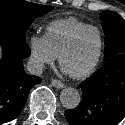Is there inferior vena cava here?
I'll return each instance as SVG.
<instances>
[{
    "mask_svg": "<svg viewBox=\"0 0 125 125\" xmlns=\"http://www.w3.org/2000/svg\"><path fill=\"white\" fill-rule=\"evenodd\" d=\"M43 64L37 60L30 59L27 63V70L32 75L40 76L43 73Z\"/></svg>",
    "mask_w": 125,
    "mask_h": 125,
    "instance_id": "inferior-vena-cava-1",
    "label": "inferior vena cava"
}]
</instances>
